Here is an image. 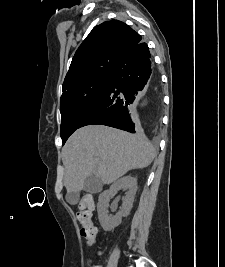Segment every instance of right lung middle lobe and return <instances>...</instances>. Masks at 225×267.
<instances>
[{
	"label": "right lung middle lobe",
	"instance_id": "right-lung-middle-lobe-1",
	"mask_svg": "<svg viewBox=\"0 0 225 267\" xmlns=\"http://www.w3.org/2000/svg\"><path fill=\"white\" fill-rule=\"evenodd\" d=\"M111 77L110 74L79 82L63 91L60 112V134L63 143L78 129L80 122L92 110L101 97Z\"/></svg>",
	"mask_w": 225,
	"mask_h": 267
}]
</instances>
